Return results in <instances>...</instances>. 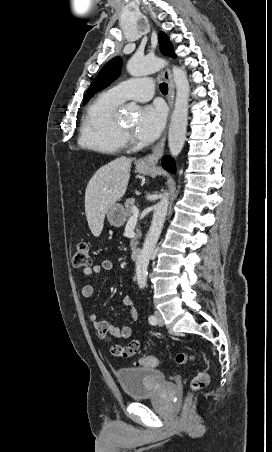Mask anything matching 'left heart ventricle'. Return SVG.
Instances as JSON below:
<instances>
[{
  "instance_id": "obj_1",
  "label": "left heart ventricle",
  "mask_w": 272,
  "mask_h": 452,
  "mask_svg": "<svg viewBox=\"0 0 272 452\" xmlns=\"http://www.w3.org/2000/svg\"><path fill=\"white\" fill-rule=\"evenodd\" d=\"M122 125H123L124 127L128 128V129H131L132 126H133V122H125V123H123Z\"/></svg>"
}]
</instances>
